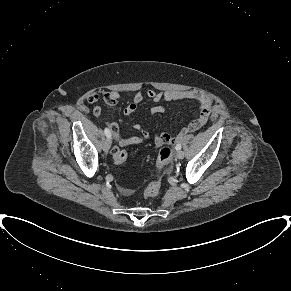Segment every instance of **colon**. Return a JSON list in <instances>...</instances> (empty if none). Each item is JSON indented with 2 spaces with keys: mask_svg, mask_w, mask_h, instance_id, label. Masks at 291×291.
<instances>
[{
  "mask_svg": "<svg viewBox=\"0 0 291 291\" xmlns=\"http://www.w3.org/2000/svg\"><path fill=\"white\" fill-rule=\"evenodd\" d=\"M104 100L107 104L112 105L116 102V99L111 93L105 95ZM172 156V148L168 145H164L160 148L157 158V170L158 175L153 182H151L144 191L145 199H151L157 196L161 189V175L166 170L169 160ZM128 154L125 150L114 148L112 150V160L115 165H120L126 161Z\"/></svg>",
  "mask_w": 291,
  "mask_h": 291,
  "instance_id": "5ec220e1",
  "label": "colon"
}]
</instances>
